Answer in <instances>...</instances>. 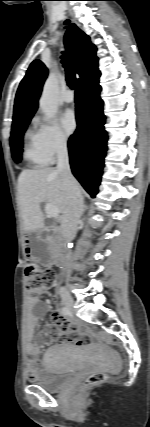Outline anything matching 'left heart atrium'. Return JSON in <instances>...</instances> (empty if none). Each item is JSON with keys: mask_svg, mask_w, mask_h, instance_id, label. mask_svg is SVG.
Here are the masks:
<instances>
[{"mask_svg": "<svg viewBox=\"0 0 150 427\" xmlns=\"http://www.w3.org/2000/svg\"><path fill=\"white\" fill-rule=\"evenodd\" d=\"M61 124L67 134H71L77 127L76 117L72 110H67L61 117Z\"/></svg>", "mask_w": 150, "mask_h": 427, "instance_id": "left-heart-atrium-1", "label": "left heart atrium"}]
</instances>
